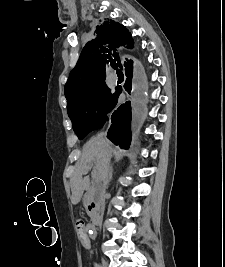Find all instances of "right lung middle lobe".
Masks as SVG:
<instances>
[{
    "instance_id": "1",
    "label": "right lung middle lobe",
    "mask_w": 225,
    "mask_h": 267,
    "mask_svg": "<svg viewBox=\"0 0 225 267\" xmlns=\"http://www.w3.org/2000/svg\"><path fill=\"white\" fill-rule=\"evenodd\" d=\"M117 97V90L112 93L103 83L89 88L78 99L67 103L68 115L79 139L103 126Z\"/></svg>"
}]
</instances>
